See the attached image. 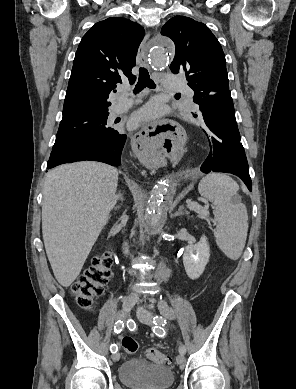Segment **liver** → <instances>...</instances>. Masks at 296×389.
<instances>
[{
  "instance_id": "1",
  "label": "liver",
  "mask_w": 296,
  "mask_h": 389,
  "mask_svg": "<svg viewBox=\"0 0 296 389\" xmlns=\"http://www.w3.org/2000/svg\"><path fill=\"white\" fill-rule=\"evenodd\" d=\"M118 171L82 161L48 172L43 188L42 234L57 281L70 286L80 274L116 202Z\"/></svg>"
}]
</instances>
